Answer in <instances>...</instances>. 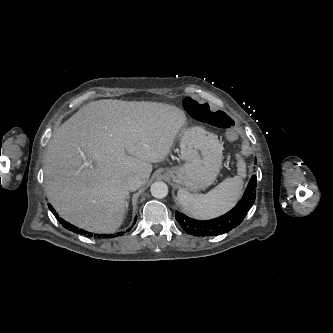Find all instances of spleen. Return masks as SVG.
<instances>
[{
    "mask_svg": "<svg viewBox=\"0 0 333 333\" xmlns=\"http://www.w3.org/2000/svg\"><path fill=\"white\" fill-rule=\"evenodd\" d=\"M238 176L226 178L206 194H191L184 189L178 190V200L187 214L196 219H210L224 214L238 201L243 178L246 176V165L237 155Z\"/></svg>",
    "mask_w": 333,
    "mask_h": 333,
    "instance_id": "spleen-1",
    "label": "spleen"
}]
</instances>
